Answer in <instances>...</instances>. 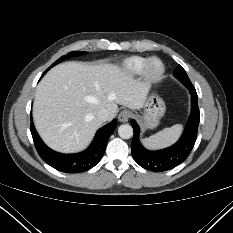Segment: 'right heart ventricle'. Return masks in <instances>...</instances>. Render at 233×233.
Here are the masks:
<instances>
[{"label":"right heart ventricle","mask_w":233,"mask_h":233,"mask_svg":"<svg viewBox=\"0 0 233 233\" xmlns=\"http://www.w3.org/2000/svg\"><path fill=\"white\" fill-rule=\"evenodd\" d=\"M147 58L141 56H132L125 59L121 65V71L126 76L140 74L144 68Z\"/></svg>","instance_id":"1"}]
</instances>
